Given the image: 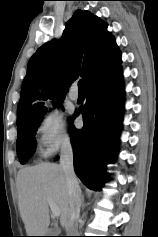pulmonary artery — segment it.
<instances>
[{"label":"pulmonary artery","mask_w":158,"mask_h":237,"mask_svg":"<svg viewBox=\"0 0 158 237\" xmlns=\"http://www.w3.org/2000/svg\"><path fill=\"white\" fill-rule=\"evenodd\" d=\"M68 95H69V98L73 101H76L79 98L78 92L74 90H71Z\"/></svg>","instance_id":"e3ab8cb5"}]
</instances>
